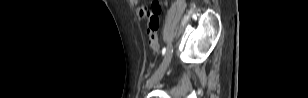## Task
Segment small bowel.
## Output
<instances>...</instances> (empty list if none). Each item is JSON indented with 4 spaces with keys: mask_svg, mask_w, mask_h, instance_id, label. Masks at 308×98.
<instances>
[{
    "mask_svg": "<svg viewBox=\"0 0 308 98\" xmlns=\"http://www.w3.org/2000/svg\"><path fill=\"white\" fill-rule=\"evenodd\" d=\"M131 3H132V5H136L137 4V0H131ZM142 9V8H141ZM143 17H145V16H143Z\"/></svg>",
    "mask_w": 308,
    "mask_h": 98,
    "instance_id": "small-bowel-1",
    "label": "small bowel"
}]
</instances>
